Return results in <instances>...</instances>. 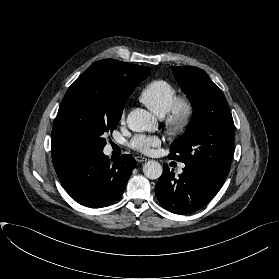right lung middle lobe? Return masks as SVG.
I'll return each instance as SVG.
<instances>
[{
	"mask_svg": "<svg viewBox=\"0 0 279 279\" xmlns=\"http://www.w3.org/2000/svg\"><path fill=\"white\" fill-rule=\"evenodd\" d=\"M98 78L99 73H83L68 88L52 129L53 162L103 151L106 133L116 128L134 87L119 91L107 84L98 94L93 90Z\"/></svg>",
	"mask_w": 279,
	"mask_h": 279,
	"instance_id": "obj_1",
	"label": "right lung middle lobe"
}]
</instances>
